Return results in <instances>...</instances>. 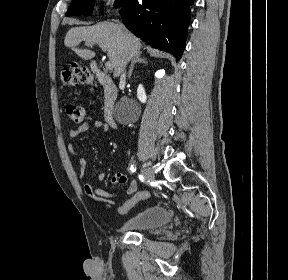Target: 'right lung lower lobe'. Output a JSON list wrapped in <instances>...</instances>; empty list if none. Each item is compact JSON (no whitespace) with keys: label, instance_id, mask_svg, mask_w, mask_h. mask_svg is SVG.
Here are the masks:
<instances>
[{"label":"right lung lower lobe","instance_id":"1","mask_svg":"<svg viewBox=\"0 0 288 280\" xmlns=\"http://www.w3.org/2000/svg\"><path fill=\"white\" fill-rule=\"evenodd\" d=\"M191 1L124 0L120 14L133 34L178 61L185 49Z\"/></svg>","mask_w":288,"mask_h":280}]
</instances>
